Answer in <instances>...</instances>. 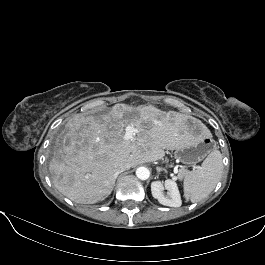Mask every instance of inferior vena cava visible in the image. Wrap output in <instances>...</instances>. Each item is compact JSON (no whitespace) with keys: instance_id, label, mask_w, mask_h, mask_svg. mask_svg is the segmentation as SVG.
Masks as SVG:
<instances>
[{"instance_id":"602c4592","label":"inferior vena cava","mask_w":265,"mask_h":265,"mask_svg":"<svg viewBox=\"0 0 265 265\" xmlns=\"http://www.w3.org/2000/svg\"><path fill=\"white\" fill-rule=\"evenodd\" d=\"M130 168H131V163L130 162L127 161V162L120 163L118 165V167H117V173L119 174V173H121V172H123L125 170L130 169Z\"/></svg>"}]
</instances>
